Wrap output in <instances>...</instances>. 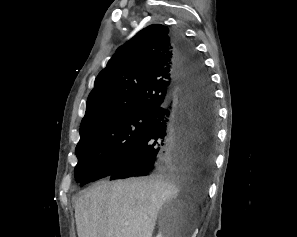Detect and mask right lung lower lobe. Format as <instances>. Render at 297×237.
I'll use <instances>...</instances> for the list:
<instances>
[{
  "mask_svg": "<svg viewBox=\"0 0 297 237\" xmlns=\"http://www.w3.org/2000/svg\"><path fill=\"white\" fill-rule=\"evenodd\" d=\"M173 43L180 87L154 112L146 134L99 179L211 171L217 114L210 81L191 43L179 32Z\"/></svg>",
  "mask_w": 297,
  "mask_h": 237,
  "instance_id": "obj_1",
  "label": "right lung lower lobe"
}]
</instances>
